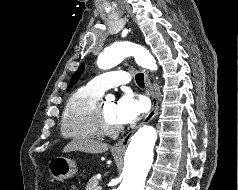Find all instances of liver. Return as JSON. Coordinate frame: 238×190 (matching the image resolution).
<instances>
[{"mask_svg": "<svg viewBox=\"0 0 238 190\" xmlns=\"http://www.w3.org/2000/svg\"><path fill=\"white\" fill-rule=\"evenodd\" d=\"M108 148L109 146L107 144L100 141L76 138L63 148V153L81 151L85 153L98 154L106 152Z\"/></svg>", "mask_w": 238, "mask_h": 190, "instance_id": "liver-1", "label": "liver"}]
</instances>
